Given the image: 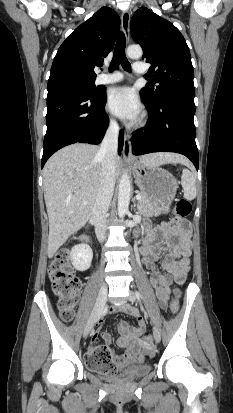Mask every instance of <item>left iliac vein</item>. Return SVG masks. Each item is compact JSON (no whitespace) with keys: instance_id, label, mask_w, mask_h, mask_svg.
I'll list each match as a JSON object with an SVG mask.
<instances>
[{"instance_id":"4c4485c4","label":"left iliac vein","mask_w":233,"mask_h":413,"mask_svg":"<svg viewBox=\"0 0 233 413\" xmlns=\"http://www.w3.org/2000/svg\"><path fill=\"white\" fill-rule=\"evenodd\" d=\"M128 298L132 303L137 302V297L132 291L129 292ZM153 336H154L155 342L159 343L161 340V334H160V331L156 327L153 328Z\"/></svg>"}]
</instances>
